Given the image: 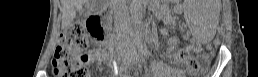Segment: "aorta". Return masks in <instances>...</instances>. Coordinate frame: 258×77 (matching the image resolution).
Segmentation results:
<instances>
[{"label":"aorta","mask_w":258,"mask_h":77,"mask_svg":"<svg viewBox=\"0 0 258 77\" xmlns=\"http://www.w3.org/2000/svg\"><path fill=\"white\" fill-rule=\"evenodd\" d=\"M131 16L136 20L140 21L142 18V5L141 0H132L130 5Z\"/></svg>","instance_id":"1"}]
</instances>
